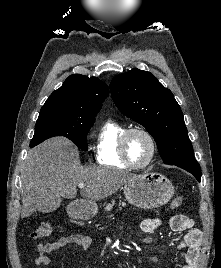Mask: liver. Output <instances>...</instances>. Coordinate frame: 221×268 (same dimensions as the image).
Segmentation results:
<instances>
[{"instance_id": "6515ba94", "label": "liver", "mask_w": 221, "mask_h": 268, "mask_svg": "<svg viewBox=\"0 0 221 268\" xmlns=\"http://www.w3.org/2000/svg\"><path fill=\"white\" fill-rule=\"evenodd\" d=\"M134 175L109 167H84L77 148L68 139L54 137L28 152L21 172V217L46 212L62 197L74 199L77 186L82 200L96 201L115 193Z\"/></svg>"}]
</instances>
